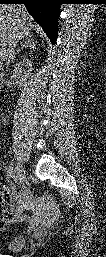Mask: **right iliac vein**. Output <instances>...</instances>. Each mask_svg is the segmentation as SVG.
<instances>
[{
	"instance_id": "63e3f726",
	"label": "right iliac vein",
	"mask_w": 106,
	"mask_h": 257,
	"mask_svg": "<svg viewBox=\"0 0 106 257\" xmlns=\"http://www.w3.org/2000/svg\"><path fill=\"white\" fill-rule=\"evenodd\" d=\"M15 178H16V181L19 184L23 183V181L25 179V170H24V167H23L22 162L20 160H18L17 163H16Z\"/></svg>"
}]
</instances>
